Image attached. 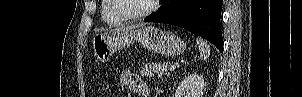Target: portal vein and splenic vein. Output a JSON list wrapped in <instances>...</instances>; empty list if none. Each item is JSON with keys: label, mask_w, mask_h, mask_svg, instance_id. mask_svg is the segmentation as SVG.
<instances>
[{"label": "portal vein and splenic vein", "mask_w": 302, "mask_h": 97, "mask_svg": "<svg viewBox=\"0 0 302 97\" xmlns=\"http://www.w3.org/2000/svg\"><path fill=\"white\" fill-rule=\"evenodd\" d=\"M175 69V65L170 66V70L173 71Z\"/></svg>", "instance_id": "obj_1"}]
</instances>
